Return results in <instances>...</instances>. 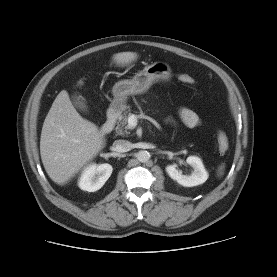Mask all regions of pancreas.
<instances>
[{"label":"pancreas","mask_w":277,"mask_h":277,"mask_svg":"<svg viewBox=\"0 0 277 277\" xmlns=\"http://www.w3.org/2000/svg\"><path fill=\"white\" fill-rule=\"evenodd\" d=\"M130 110H125L123 114L119 116V120L116 127V132L119 135H124L127 133V124H128V116L130 115Z\"/></svg>","instance_id":"pancreas-1"}]
</instances>
